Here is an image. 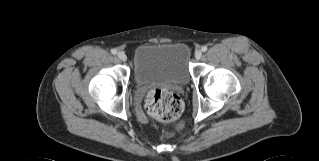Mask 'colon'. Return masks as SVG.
I'll use <instances>...</instances> for the list:
<instances>
[{"label":"colon","instance_id":"obj_1","mask_svg":"<svg viewBox=\"0 0 319 161\" xmlns=\"http://www.w3.org/2000/svg\"><path fill=\"white\" fill-rule=\"evenodd\" d=\"M147 113L161 122L178 121L184 110L182 99L170 90L155 88L149 91L144 100Z\"/></svg>","mask_w":319,"mask_h":161}]
</instances>
